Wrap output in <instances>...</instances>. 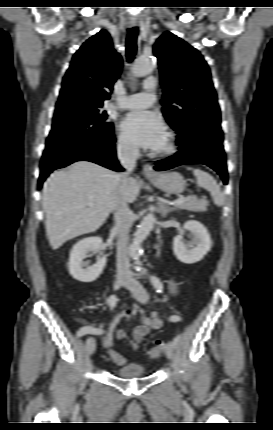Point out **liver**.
Instances as JSON below:
<instances>
[{
  "label": "liver",
  "mask_w": 273,
  "mask_h": 430,
  "mask_svg": "<svg viewBox=\"0 0 273 430\" xmlns=\"http://www.w3.org/2000/svg\"><path fill=\"white\" fill-rule=\"evenodd\" d=\"M116 173L90 161H77L52 173L44 184L42 205L53 250L66 241L99 229L114 209ZM128 203L139 194L135 179L122 187ZM92 203L93 205H89Z\"/></svg>",
  "instance_id": "6515ba94"
}]
</instances>
